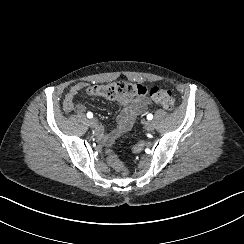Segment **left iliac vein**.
<instances>
[{"mask_svg": "<svg viewBox=\"0 0 244 244\" xmlns=\"http://www.w3.org/2000/svg\"><path fill=\"white\" fill-rule=\"evenodd\" d=\"M144 129H145L147 132L152 133V132L154 131V129H155V126H154V124H153L152 121H147V122H145V124H144Z\"/></svg>", "mask_w": 244, "mask_h": 244, "instance_id": "4c4485c4", "label": "left iliac vein"}]
</instances>
